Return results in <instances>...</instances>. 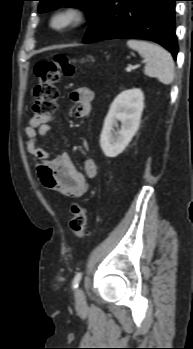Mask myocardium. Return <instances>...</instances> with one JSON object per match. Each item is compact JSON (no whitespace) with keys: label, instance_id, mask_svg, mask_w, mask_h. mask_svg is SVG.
I'll list each match as a JSON object with an SVG mask.
<instances>
[{"label":"myocardium","instance_id":"1","mask_svg":"<svg viewBox=\"0 0 193 349\" xmlns=\"http://www.w3.org/2000/svg\"><path fill=\"white\" fill-rule=\"evenodd\" d=\"M87 18L86 9L78 3H67L55 8L48 17V27L57 34H64L82 24ZM61 23H58V21Z\"/></svg>","mask_w":193,"mask_h":349}]
</instances>
